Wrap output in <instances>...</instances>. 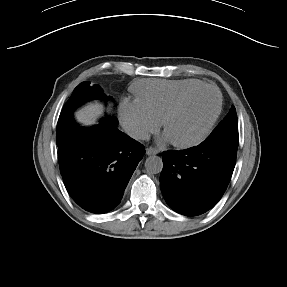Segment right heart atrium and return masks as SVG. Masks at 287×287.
<instances>
[{
  "label": "right heart atrium",
  "instance_id": "d8ad5b80",
  "mask_svg": "<svg viewBox=\"0 0 287 287\" xmlns=\"http://www.w3.org/2000/svg\"><path fill=\"white\" fill-rule=\"evenodd\" d=\"M119 116L126 131L136 139H146L161 125L138 99H124L119 105Z\"/></svg>",
  "mask_w": 287,
  "mask_h": 287
}]
</instances>
